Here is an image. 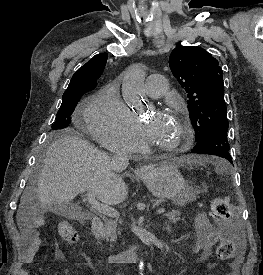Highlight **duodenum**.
I'll list each match as a JSON object with an SVG mask.
<instances>
[{
    "mask_svg": "<svg viewBox=\"0 0 263 275\" xmlns=\"http://www.w3.org/2000/svg\"><path fill=\"white\" fill-rule=\"evenodd\" d=\"M103 229V220L98 216L93 217L91 230L98 246L102 245ZM137 255V247H132L117 254L107 255V261L112 264L134 262L137 260Z\"/></svg>",
    "mask_w": 263,
    "mask_h": 275,
    "instance_id": "1",
    "label": "duodenum"
}]
</instances>
